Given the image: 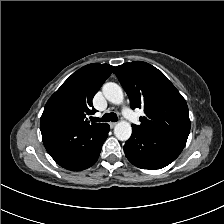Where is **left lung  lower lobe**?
Returning <instances> with one entry per match:
<instances>
[{
    "instance_id": "obj_1",
    "label": "left lung lower lobe",
    "mask_w": 224,
    "mask_h": 224,
    "mask_svg": "<svg viewBox=\"0 0 224 224\" xmlns=\"http://www.w3.org/2000/svg\"><path fill=\"white\" fill-rule=\"evenodd\" d=\"M186 142L156 133L132 128V135L125 142L127 159L142 169H160L169 165L181 153Z\"/></svg>"
}]
</instances>
